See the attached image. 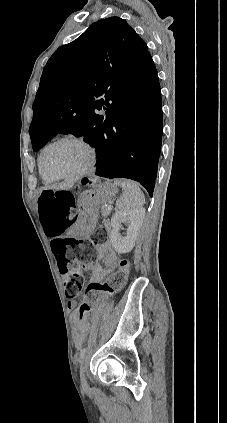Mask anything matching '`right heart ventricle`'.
<instances>
[{"instance_id": "e07e8e85", "label": "right heart ventricle", "mask_w": 227, "mask_h": 423, "mask_svg": "<svg viewBox=\"0 0 227 423\" xmlns=\"http://www.w3.org/2000/svg\"><path fill=\"white\" fill-rule=\"evenodd\" d=\"M44 149H45V148H44ZM44 149H43V150H44ZM43 150L40 152V154L38 155V159H37L38 171H39V175H40V177H41V179H42L43 183H45V184H51V183H54V182L56 181V179H53V178L48 177V176L44 173V171H43V169H42V166H41V156H42V152H43Z\"/></svg>"}]
</instances>
